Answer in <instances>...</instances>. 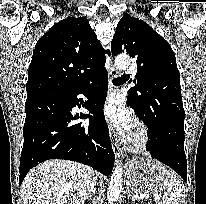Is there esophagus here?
Instances as JSON below:
<instances>
[{
    "label": "esophagus",
    "mask_w": 206,
    "mask_h": 204,
    "mask_svg": "<svg viewBox=\"0 0 206 204\" xmlns=\"http://www.w3.org/2000/svg\"><path fill=\"white\" fill-rule=\"evenodd\" d=\"M118 76V71L115 69L114 65L112 64L109 70V90L112 91L113 90V80L115 78H117ZM109 135H110V139H111V144H112V148L114 151L115 156L120 159L123 157V152L118 144V140L116 137V134L114 133L113 129L111 126H109Z\"/></svg>",
    "instance_id": "esophagus-1"
}]
</instances>
